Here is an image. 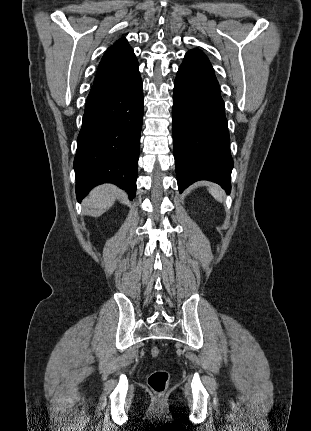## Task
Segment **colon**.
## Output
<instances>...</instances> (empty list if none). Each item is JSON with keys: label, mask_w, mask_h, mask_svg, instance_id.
Listing matches in <instances>:
<instances>
[{"label": "colon", "mask_w": 311, "mask_h": 431, "mask_svg": "<svg viewBox=\"0 0 311 431\" xmlns=\"http://www.w3.org/2000/svg\"><path fill=\"white\" fill-rule=\"evenodd\" d=\"M151 356L158 357L160 351L158 347H152L150 350ZM169 381V373L164 369L153 371L148 377V385L155 394H162L165 392Z\"/></svg>", "instance_id": "colon-1"}]
</instances>
